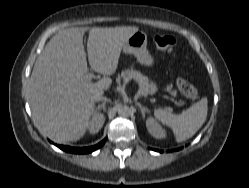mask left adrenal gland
<instances>
[{
    "mask_svg": "<svg viewBox=\"0 0 249 188\" xmlns=\"http://www.w3.org/2000/svg\"><path fill=\"white\" fill-rule=\"evenodd\" d=\"M136 105L140 108L143 118H145V113L149 112V110L142 106L139 102H136Z\"/></svg>",
    "mask_w": 249,
    "mask_h": 188,
    "instance_id": "1",
    "label": "left adrenal gland"
}]
</instances>
